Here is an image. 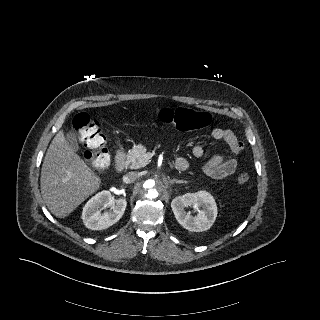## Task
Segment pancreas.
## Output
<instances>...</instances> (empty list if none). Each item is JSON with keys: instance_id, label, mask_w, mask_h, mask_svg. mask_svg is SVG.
<instances>
[{"instance_id": "pancreas-1", "label": "pancreas", "mask_w": 320, "mask_h": 320, "mask_svg": "<svg viewBox=\"0 0 320 320\" xmlns=\"http://www.w3.org/2000/svg\"><path fill=\"white\" fill-rule=\"evenodd\" d=\"M146 155V148L143 145L140 144L134 146L128 151L125 164L130 169H139L141 167H145L149 163Z\"/></svg>"}]
</instances>
